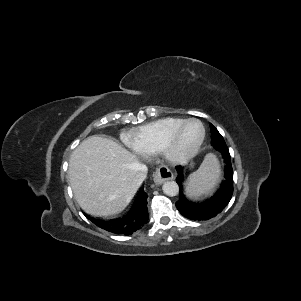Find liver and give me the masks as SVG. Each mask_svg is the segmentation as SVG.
I'll return each mask as SVG.
<instances>
[{
	"label": "liver",
	"instance_id": "obj_1",
	"mask_svg": "<svg viewBox=\"0 0 301 301\" xmlns=\"http://www.w3.org/2000/svg\"><path fill=\"white\" fill-rule=\"evenodd\" d=\"M137 157L113 140L90 136L73 151L68 178L81 208L94 216L114 215L131 202Z\"/></svg>",
	"mask_w": 301,
	"mask_h": 301
}]
</instances>
